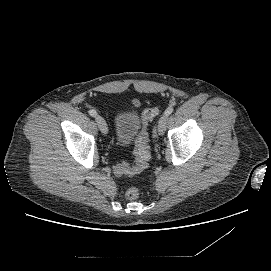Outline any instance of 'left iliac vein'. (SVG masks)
<instances>
[{"label": "left iliac vein", "instance_id": "1", "mask_svg": "<svg viewBox=\"0 0 271 271\" xmlns=\"http://www.w3.org/2000/svg\"><path fill=\"white\" fill-rule=\"evenodd\" d=\"M166 121H167V116L163 115L160 117L158 121V133L159 135H163L165 130H166Z\"/></svg>", "mask_w": 271, "mask_h": 271}]
</instances>
